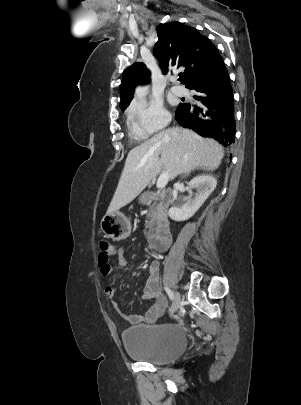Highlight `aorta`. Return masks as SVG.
<instances>
[{
  "label": "aorta",
  "mask_w": 301,
  "mask_h": 405,
  "mask_svg": "<svg viewBox=\"0 0 301 405\" xmlns=\"http://www.w3.org/2000/svg\"><path fill=\"white\" fill-rule=\"evenodd\" d=\"M147 94V87L145 86H138L135 90V97L138 99H142Z\"/></svg>",
  "instance_id": "762f6f07"
}]
</instances>
